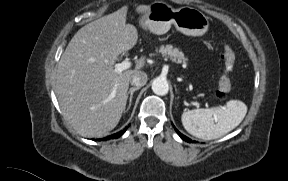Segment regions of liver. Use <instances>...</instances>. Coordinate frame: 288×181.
I'll return each mask as SVG.
<instances>
[{
  "label": "liver",
  "mask_w": 288,
  "mask_h": 181,
  "mask_svg": "<svg viewBox=\"0 0 288 181\" xmlns=\"http://www.w3.org/2000/svg\"><path fill=\"white\" fill-rule=\"evenodd\" d=\"M140 5L137 13L146 14ZM128 7L83 26L73 36L58 64L55 93L64 118L82 136L99 137L113 130L125 109L132 76L145 64L115 72L118 56L132 49L137 29L126 24Z\"/></svg>",
  "instance_id": "liver-1"
}]
</instances>
